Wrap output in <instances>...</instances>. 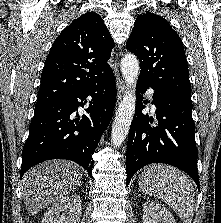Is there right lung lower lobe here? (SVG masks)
<instances>
[{
  "label": "right lung lower lobe",
  "mask_w": 221,
  "mask_h": 223,
  "mask_svg": "<svg viewBox=\"0 0 221 223\" xmlns=\"http://www.w3.org/2000/svg\"><path fill=\"white\" fill-rule=\"evenodd\" d=\"M115 100L111 69L72 94L35 106L23 147L20 177L32 166L50 159L72 160L92 176V154L112 118ZM86 103V113L79 115L78 107Z\"/></svg>",
  "instance_id": "obj_1"
}]
</instances>
